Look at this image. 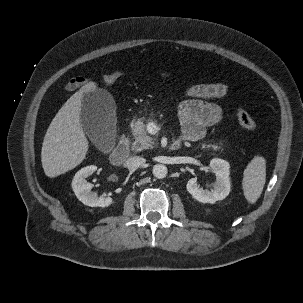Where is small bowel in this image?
<instances>
[{
    "label": "small bowel",
    "mask_w": 303,
    "mask_h": 303,
    "mask_svg": "<svg viewBox=\"0 0 303 303\" xmlns=\"http://www.w3.org/2000/svg\"><path fill=\"white\" fill-rule=\"evenodd\" d=\"M161 79L170 81L171 75L167 71L155 70ZM84 77H72L65 84L66 91L77 90L86 85ZM229 92L225 84H198L186 89L185 99L179 104L178 116L180 120L182 138L187 141H199L204 138L208 128L220 124L224 118L222 108L209 102L213 99L224 98Z\"/></svg>",
    "instance_id": "1"
}]
</instances>
